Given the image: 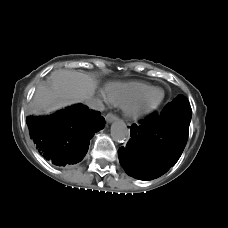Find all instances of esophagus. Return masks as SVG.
I'll return each mask as SVG.
<instances>
[{
    "label": "esophagus",
    "mask_w": 228,
    "mask_h": 228,
    "mask_svg": "<svg viewBox=\"0 0 228 228\" xmlns=\"http://www.w3.org/2000/svg\"><path fill=\"white\" fill-rule=\"evenodd\" d=\"M117 118H118L117 115H116V114H113V113H111V112L108 113V114L106 115V117H105L107 123H111V122L117 120Z\"/></svg>",
    "instance_id": "esophagus-1"
}]
</instances>
